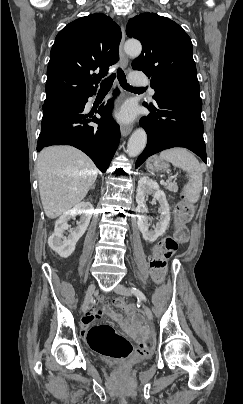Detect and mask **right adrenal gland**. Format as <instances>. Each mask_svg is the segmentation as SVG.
<instances>
[{
	"mask_svg": "<svg viewBox=\"0 0 243 404\" xmlns=\"http://www.w3.org/2000/svg\"><path fill=\"white\" fill-rule=\"evenodd\" d=\"M92 190H94V186H92Z\"/></svg>",
	"mask_w": 243,
	"mask_h": 404,
	"instance_id": "obj_1",
	"label": "right adrenal gland"
}]
</instances>
